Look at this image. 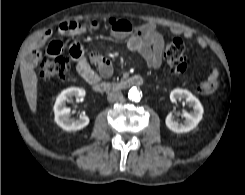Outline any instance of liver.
<instances>
[{"label": "liver", "mask_w": 245, "mask_h": 195, "mask_svg": "<svg viewBox=\"0 0 245 195\" xmlns=\"http://www.w3.org/2000/svg\"><path fill=\"white\" fill-rule=\"evenodd\" d=\"M20 73L28 105L33 113L37 108L38 78L31 64L23 61L20 64Z\"/></svg>", "instance_id": "6515ba94"}]
</instances>
